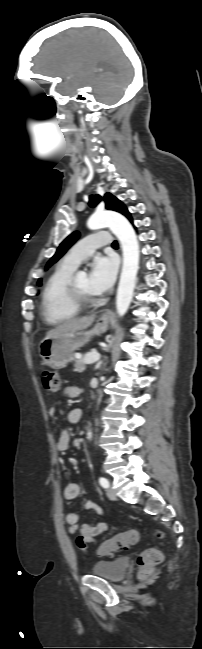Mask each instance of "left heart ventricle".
I'll return each mask as SVG.
<instances>
[{"label":"left heart ventricle","mask_w":202,"mask_h":649,"mask_svg":"<svg viewBox=\"0 0 202 649\" xmlns=\"http://www.w3.org/2000/svg\"><path fill=\"white\" fill-rule=\"evenodd\" d=\"M77 287L85 294H92L89 286L87 276H79L76 278Z\"/></svg>","instance_id":"1"}]
</instances>
